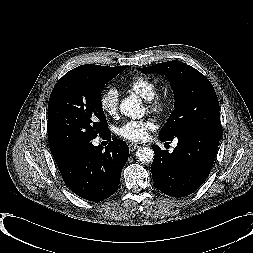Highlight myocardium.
Here are the masks:
<instances>
[{
	"label": "myocardium",
	"mask_w": 253,
	"mask_h": 253,
	"mask_svg": "<svg viewBox=\"0 0 253 253\" xmlns=\"http://www.w3.org/2000/svg\"><path fill=\"white\" fill-rule=\"evenodd\" d=\"M169 105V100L165 96L157 95L151 100L147 101L148 109L157 115H160L166 111Z\"/></svg>",
	"instance_id": "f54148a6"
}]
</instances>
